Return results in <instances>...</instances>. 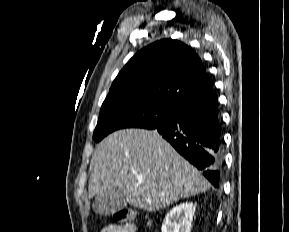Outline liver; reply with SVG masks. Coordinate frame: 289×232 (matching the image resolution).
I'll use <instances>...</instances> for the list:
<instances>
[{
	"label": "liver",
	"instance_id": "6515ba94",
	"mask_svg": "<svg viewBox=\"0 0 289 232\" xmlns=\"http://www.w3.org/2000/svg\"><path fill=\"white\" fill-rule=\"evenodd\" d=\"M89 170V198L122 189L136 208L156 211L210 189L193 165L155 130L115 131L96 147Z\"/></svg>",
	"mask_w": 289,
	"mask_h": 232
}]
</instances>
